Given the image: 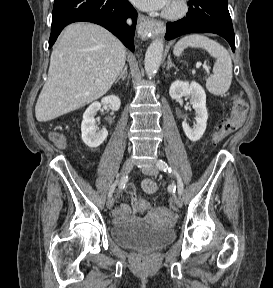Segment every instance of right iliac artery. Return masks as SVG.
<instances>
[{
    "label": "right iliac artery",
    "instance_id": "right-iliac-artery-1",
    "mask_svg": "<svg viewBox=\"0 0 273 288\" xmlns=\"http://www.w3.org/2000/svg\"><path fill=\"white\" fill-rule=\"evenodd\" d=\"M122 179H123V181H127V180H128V175L123 176ZM117 183H118V180H116L115 183L111 186V188H110V190H109V193H108V197H111V196H112V194H113V192H114V190H115V187H116Z\"/></svg>",
    "mask_w": 273,
    "mask_h": 288
}]
</instances>
